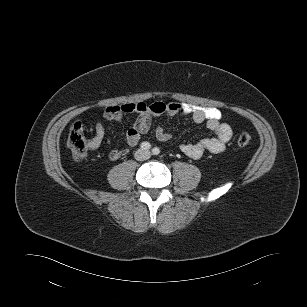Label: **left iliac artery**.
I'll list each match as a JSON object with an SVG mask.
<instances>
[{
    "instance_id": "44dca946",
    "label": "left iliac artery",
    "mask_w": 307,
    "mask_h": 307,
    "mask_svg": "<svg viewBox=\"0 0 307 307\" xmlns=\"http://www.w3.org/2000/svg\"><path fill=\"white\" fill-rule=\"evenodd\" d=\"M152 153H153V155H158V154L160 153V149L157 148V147H154V148L152 149Z\"/></svg>"
}]
</instances>
